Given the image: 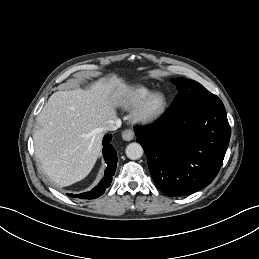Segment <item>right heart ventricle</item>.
Listing matches in <instances>:
<instances>
[{"instance_id":"1","label":"right heart ventricle","mask_w":259,"mask_h":259,"mask_svg":"<svg viewBox=\"0 0 259 259\" xmlns=\"http://www.w3.org/2000/svg\"><path fill=\"white\" fill-rule=\"evenodd\" d=\"M150 89L145 86H134L118 92L115 96V104L121 108H129L140 103L147 95Z\"/></svg>"}]
</instances>
